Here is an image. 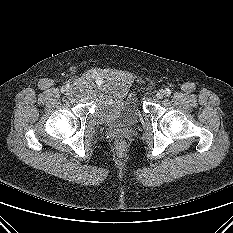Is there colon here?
Masks as SVG:
<instances>
[{
  "label": "colon",
  "instance_id": "1",
  "mask_svg": "<svg viewBox=\"0 0 233 233\" xmlns=\"http://www.w3.org/2000/svg\"><path fill=\"white\" fill-rule=\"evenodd\" d=\"M114 148L119 155H122L126 150V141L123 138H117L114 142Z\"/></svg>",
  "mask_w": 233,
  "mask_h": 233
}]
</instances>
